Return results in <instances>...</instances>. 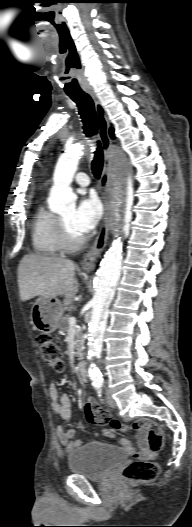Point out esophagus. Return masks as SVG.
<instances>
[{
  "label": "esophagus",
  "instance_id": "esophagus-1",
  "mask_svg": "<svg viewBox=\"0 0 192 527\" xmlns=\"http://www.w3.org/2000/svg\"><path fill=\"white\" fill-rule=\"evenodd\" d=\"M87 93L90 95L95 104V110L98 121V134L104 152V163L100 181L101 198L104 204L103 221L94 243L87 251V253L83 256L81 261V266L84 270H92L95 267L97 258L100 256L107 244L109 235V179L112 166V140L109 136V124L103 106L101 105L94 91L88 90Z\"/></svg>",
  "mask_w": 192,
  "mask_h": 527
}]
</instances>
